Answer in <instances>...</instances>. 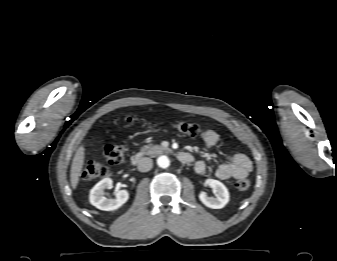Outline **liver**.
<instances>
[{
    "label": "liver",
    "instance_id": "6515ba94",
    "mask_svg": "<svg viewBox=\"0 0 337 261\" xmlns=\"http://www.w3.org/2000/svg\"><path fill=\"white\" fill-rule=\"evenodd\" d=\"M85 160V147L81 145L73 158L70 170V182L73 189H76Z\"/></svg>",
    "mask_w": 337,
    "mask_h": 261
}]
</instances>
